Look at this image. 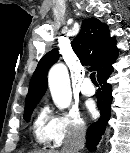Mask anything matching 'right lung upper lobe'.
I'll use <instances>...</instances> for the list:
<instances>
[{
    "label": "right lung upper lobe",
    "instance_id": "cb5924a9",
    "mask_svg": "<svg viewBox=\"0 0 130 153\" xmlns=\"http://www.w3.org/2000/svg\"><path fill=\"white\" fill-rule=\"evenodd\" d=\"M71 46L83 65H91L89 70L102 74L115 62L117 49L115 38H111L107 25L96 18L82 21L79 34L71 42ZM59 59L57 49L45 54L38 63L30 81L25 107L38 103L47 89V72Z\"/></svg>",
    "mask_w": 130,
    "mask_h": 153
}]
</instances>
